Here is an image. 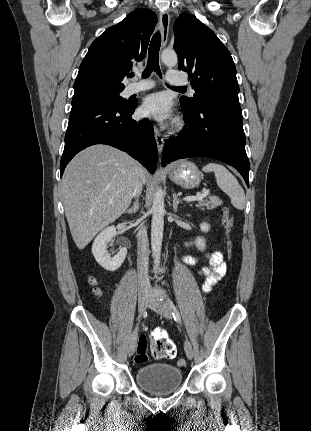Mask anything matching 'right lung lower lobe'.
<instances>
[{"instance_id":"obj_1","label":"right lung lower lobe","mask_w":311,"mask_h":431,"mask_svg":"<svg viewBox=\"0 0 311 431\" xmlns=\"http://www.w3.org/2000/svg\"><path fill=\"white\" fill-rule=\"evenodd\" d=\"M137 103L129 107L94 103L72 108L60 162V174L84 148L107 144L127 152L151 173L157 165V145L153 126L147 119L135 121L131 115Z\"/></svg>"}]
</instances>
